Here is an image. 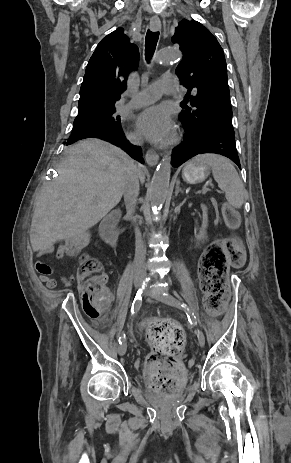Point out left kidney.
Returning a JSON list of instances; mask_svg holds the SVG:
<instances>
[{
    "instance_id": "1",
    "label": "left kidney",
    "mask_w": 291,
    "mask_h": 463,
    "mask_svg": "<svg viewBox=\"0 0 291 463\" xmlns=\"http://www.w3.org/2000/svg\"><path fill=\"white\" fill-rule=\"evenodd\" d=\"M201 209L203 212V223H202V229L200 233L196 236L197 242H201L207 239V226H208V214H207V207L204 204H201Z\"/></svg>"
}]
</instances>
